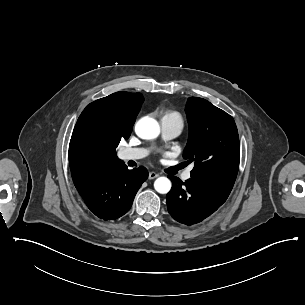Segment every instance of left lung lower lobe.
<instances>
[{
  "instance_id": "0a47b994",
  "label": "left lung lower lobe",
  "mask_w": 305,
  "mask_h": 305,
  "mask_svg": "<svg viewBox=\"0 0 305 305\" xmlns=\"http://www.w3.org/2000/svg\"><path fill=\"white\" fill-rule=\"evenodd\" d=\"M172 189L167 194V208L173 219L191 226L215 212L228 198L232 188L190 178L182 182L168 176Z\"/></svg>"
}]
</instances>
